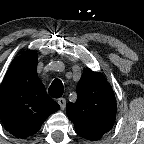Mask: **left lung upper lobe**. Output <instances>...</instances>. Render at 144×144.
<instances>
[{
    "label": "left lung upper lobe",
    "instance_id": "1",
    "mask_svg": "<svg viewBox=\"0 0 144 144\" xmlns=\"http://www.w3.org/2000/svg\"><path fill=\"white\" fill-rule=\"evenodd\" d=\"M66 112L76 132L88 140H98L109 132L116 118V100L105 77L84 70L77 85V101L69 102Z\"/></svg>",
    "mask_w": 144,
    "mask_h": 144
}]
</instances>
